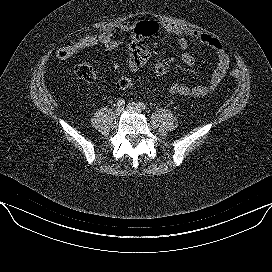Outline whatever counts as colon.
<instances>
[{
  "label": "colon",
  "instance_id": "colon-1",
  "mask_svg": "<svg viewBox=\"0 0 272 272\" xmlns=\"http://www.w3.org/2000/svg\"><path fill=\"white\" fill-rule=\"evenodd\" d=\"M158 30V25L153 21H144L139 23L135 28L136 35L140 37L152 36ZM97 46L104 48H112L114 46L112 39L102 34L87 33L77 37L68 45L59 47L56 50V57L60 60H67L81 52L87 51ZM167 73V67L164 62H157L154 68L149 72L151 78H162ZM75 76L85 82L92 81L95 77L94 68L88 63L78 64L74 69ZM230 76L232 78H238L239 72L237 70H231ZM135 84V79L132 77H121L116 82V87L120 90H125L132 87Z\"/></svg>",
  "mask_w": 272,
  "mask_h": 272
}]
</instances>
